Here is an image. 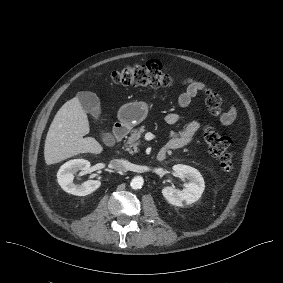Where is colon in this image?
<instances>
[{"instance_id": "1", "label": "colon", "mask_w": 283, "mask_h": 283, "mask_svg": "<svg viewBox=\"0 0 283 283\" xmlns=\"http://www.w3.org/2000/svg\"><path fill=\"white\" fill-rule=\"evenodd\" d=\"M110 80L124 86L153 88L168 87L174 82L165 66L156 60L115 70L110 74ZM225 100L226 96L223 93H206V104L212 115L221 112ZM203 138L209 152L219 161L221 169L225 172L231 171L234 166V155L230 151V139L210 126L204 129Z\"/></svg>"}]
</instances>
